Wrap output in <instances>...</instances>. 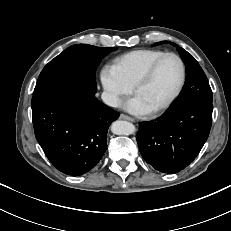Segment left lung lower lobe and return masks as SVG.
Instances as JSON below:
<instances>
[{"instance_id": "0a47b994", "label": "left lung lower lobe", "mask_w": 231, "mask_h": 231, "mask_svg": "<svg viewBox=\"0 0 231 231\" xmlns=\"http://www.w3.org/2000/svg\"><path fill=\"white\" fill-rule=\"evenodd\" d=\"M212 110L211 102L186 101L172 104L153 121L140 122L137 142L144 160L160 172L183 170L208 138Z\"/></svg>"}]
</instances>
